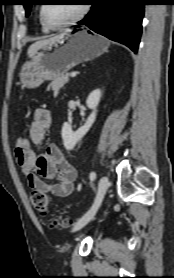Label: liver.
<instances>
[{
	"label": "liver",
	"instance_id": "1",
	"mask_svg": "<svg viewBox=\"0 0 174 278\" xmlns=\"http://www.w3.org/2000/svg\"><path fill=\"white\" fill-rule=\"evenodd\" d=\"M59 36H55V37H52V38H49V39H44V40H41V41H37L35 43H33L32 45H30V47L28 48V55L31 56L33 55L36 50H38L39 48L49 44L50 42L54 41L55 39H57Z\"/></svg>",
	"mask_w": 174,
	"mask_h": 278
}]
</instances>
